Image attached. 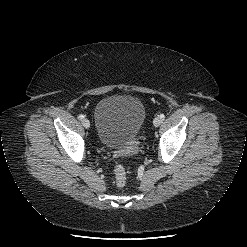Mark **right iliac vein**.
Here are the masks:
<instances>
[{
	"mask_svg": "<svg viewBox=\"0 0 247 247\" xmlns=\"http://www.w3.org/2000/svg\"><path fill=\"white\" fill-rule=\"evenodd\" d=\"M82 124H83V126L85 127V128H89L90 127V121L87 119V118H84L83 120H82Z\"/></svg>",
	"mask_w": 247,
	"mask_h": 247,
	"instance_id": "1",
	"label": "right iliac vein"
}]
</instances>
